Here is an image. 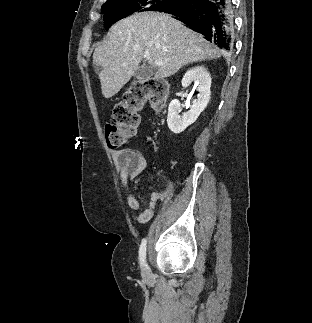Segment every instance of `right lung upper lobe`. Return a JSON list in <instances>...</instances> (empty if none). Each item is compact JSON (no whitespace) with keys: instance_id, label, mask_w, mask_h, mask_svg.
<instances>
[{"instance_id":"1","label":"right lung upper lobe","mask_w":312,"mask_h":323,"mask_svg":"<svg viewBox=\"0 0 312 323\" xmlns=\"http://www.w3.org/2000/svg\"><path fill=\"white\" fill-rule=\"evenodd\" d=\"M111 1H113V0H107V1H106V3H109V2H111ZM106 3H105V4H106ZM163 10H164V9H163ZM160 11H162V10H160Z\"/></svg>"}]
</instances>
